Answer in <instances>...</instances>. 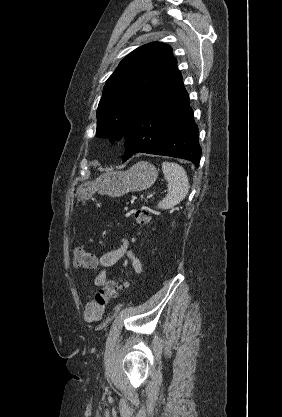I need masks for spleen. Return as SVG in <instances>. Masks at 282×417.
<instances>
[{
    "label": "spleen",
    "instance_id": "obj_1",
    "mask_svg": "<svg viewBox=\"0 0 282 417\" xmlns=\"http://www.w3.org/2000/svg\"><path fill=\"white\" fill-rule=\"evenodd\" d=\"M162 170L167 180L168 192L158 202V209H174L175 204H179L182 198H185L189 186L188 176L183 166L177 162H162Z\"/></svg>",
    "mask_w": 282,
    "mask_h": 417
}]
</instances>
